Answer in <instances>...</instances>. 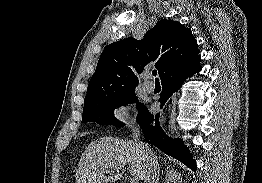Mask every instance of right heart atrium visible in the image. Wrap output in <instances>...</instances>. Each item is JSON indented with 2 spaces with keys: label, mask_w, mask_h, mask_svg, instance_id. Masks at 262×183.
I'll return each mask as SVG.
<instances>
[{
  "label": "right heart atrium",
  "mask_w": 262,
  "mask_h": 183,
  "mask_svg": "<svg viewBox=\"0 0 262 183\" xmlns=\"http://www.w3.org/2000/svg\"><path fill=\"white\" fill-rule=\"evenodd\" d=\"M110 117L118 126L131 127L135 124L132 105L127 101L116 104L111 109Z\"/></svg>",
  "instance_id": "1"
}]
</instances>
